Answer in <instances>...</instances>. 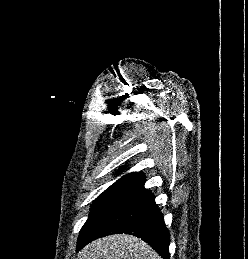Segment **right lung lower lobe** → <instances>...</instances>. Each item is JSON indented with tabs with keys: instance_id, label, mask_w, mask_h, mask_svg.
<instances>
[{
	"instance_id": "obj_1",
	"label": "right lung lower lobe",
	"mask_w": 248,
	"mask_h": 259,
	"mask_svg": "<svg viewBox=\"0 0 248 259\" xmlns=\"http://www.w3.org/2000/svg\"><path fill=\"white\" fill-rule=\"evenodd\" d=\"M116 233L137 236L155 249L163 259H170V234L154 195L144 188V181L127 191L95 228L78 241L77 251L97 238Z\"/></svg>"
}]
</instances>
